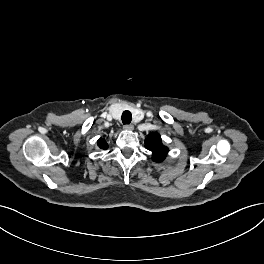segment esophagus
Returning a JSON list of instances; mask_svg holds the SVG:
<instances>
[{
	"label": "esophagus",
	"mask_w": 264,
	"mask_h": 264,
	"mask_svg": "<svg viewBox=\"0 0 264 264\" xmlns=\"http://www.w3.org/2000/svg\"><path fill=\"white\" fill-rule=\"evenodd\" d=\"M124 129H125L126 131H132V130L134 129V126H133L132 124H126V125L124 126Z\"/></svg>",
	"instance_id": "esophagus-1"
}]
</instances>
